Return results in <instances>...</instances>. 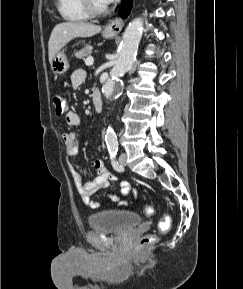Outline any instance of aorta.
I'll use <instances>...</instances> for the list:
<instances>
[{"label": "aorta", "instance_id": "762f6f07", "mask_svg": "<svg viewBox=\"0 0 243 289\" xmlns=\"http://www.w3.org/2000/svg\"><path fill=\"white\" fill-rule=\"evenodd\" d=\"M142 31L143 20L141 18L134 19L127 26L122 37L119 57L110 72V78L102 89L106 97L109 98L114 95L119 78L132 67L142 37ZM105 141L109 152H116L118 150L117 136L110 126L107 128Z\"/></svg>", "mask_w": 243, "mask_h": 289}]
</instances>
